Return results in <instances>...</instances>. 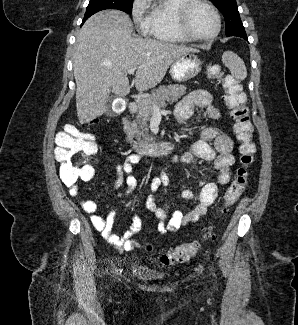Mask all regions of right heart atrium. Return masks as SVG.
I'll return each mask as SVG.
<instances>
[{
    "label": "right heart atrium",
    "mask_w": 298,
    "mask_h": 325,
    "mask_svg": "<svg viewBox=\"0 0 298 325\" xmlns=\"http://www.w3.org/2000/svg\"><path fill=\"white\" fill-rule=\"evenodd\" d=\"M148 3L145 0H135L131 10V18L137 26V31L141 32V37H157V30L153 25H147L150 22L148 15Z\"/></svg>",
    "instance_id": "d8ad5b80"
}]
</instances>
